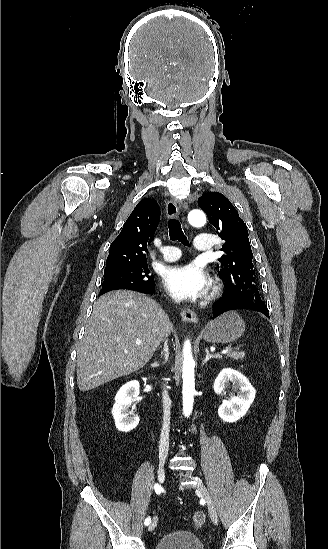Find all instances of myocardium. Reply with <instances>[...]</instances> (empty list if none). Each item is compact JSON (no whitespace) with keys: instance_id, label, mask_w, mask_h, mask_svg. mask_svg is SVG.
I'll return each mask as SVG.
<instances>
[{"instance_id":"myocardium-1","label":"myocardium","mask_w":328,"mask_h":549,"mask_svg":"<svg viewBox=\"0 0 328 549\" xmlns=\"http://www.w3.org/2000/svg\"><path fill=\"white\" fill-rule=\"evenodd\" d=\"M217 290H218V287L214 286V292H217Z\"/></svg>"}]
</instances>
